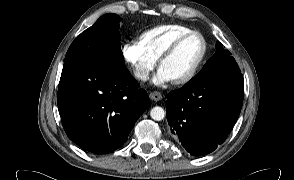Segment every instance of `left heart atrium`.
Returning a JSON list of instances; mask_svg holds the SVG:
<instances>
[{
  "label": "left heart atrium",
  "instance_id": "39dd6f15",
  "mask_svg": "<svg viewBox=\"0 0 294 180\" xmlns=\"http://www.w3.org/2000/svg\"><path fill=\"white\" fill-rule=\"evenodd\" d=\"M171 81H172V79L170 78V76L161 67L158 69L155 77L153 78V82L155 84H166Z\"/></svg>",
  "mask_w": 294,
  "mask_h": 180
}]
</instances>
